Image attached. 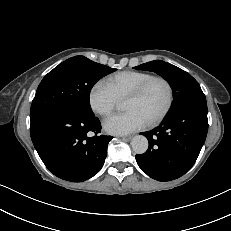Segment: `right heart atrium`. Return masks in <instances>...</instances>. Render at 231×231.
Masks as SVG:
<instances>
[{
  "instance_id": "d8ad5b80",
  "label": "right heart atrium",
  "mask_w": 231,
  "mask_h": 231,
  "mask_svg": "<svg viewBox=\"0 0 231 231\" xmlns=\"http://www.w3.org/2000/svg\"><path fill=\"white\" fill-rule=\"evenodd\" d=\"M119 99L103 82L94 83L88 93V103L92 111L100 116H108L116 108Z\"/></svg>"
}]
</instances>
